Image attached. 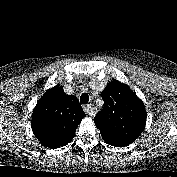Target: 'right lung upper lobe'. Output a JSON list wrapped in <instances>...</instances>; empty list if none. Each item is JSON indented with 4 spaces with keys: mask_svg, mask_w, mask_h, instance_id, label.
I'll list each match as a JSON object with an SVG mask.
<instances>
[{
    "mask_svg": "<svg viewBox=\"0 0 177 177\" xmlns=\"http://www.w3.org/2000/svg\"><path fill=\"white\" fill-rule=\"evenodd\" d=\"M85 113L77 98L66 95L62 86L47 90L33 109L31 127L35 137L46 147L68 144Z\"/></svg>",
    "mask_w": 177,
    "mask_h": 177,
    "instance_id": "right-lung-upper-lobe-1",
    "label": "right lung upper lobe"
}]
</instances>
